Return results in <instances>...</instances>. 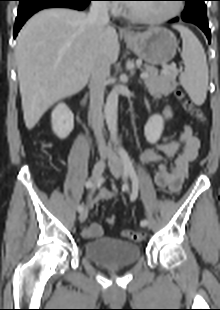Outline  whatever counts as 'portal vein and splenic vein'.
I'll list each match as a JSON object with an SVG mask.
<instances>
[{
  "label": "portal vein and splenic vein",
  "instance_id": "1",
  "mask_svg": "<svg viewBox=\"0 0 220 310\" xmlns=\"http://www.w3.org/2000/svg\"><path fill=\"white\" fill-rule=\"evenodd\" d=\"M169 70H173V71H176V72H177L178 70L176 69V64L170 65L164 72H168ZM140 77H141V79H146V78L149 77V74L146 73V72H143V73L140 75Z\"/></svg>",
  "mask_w": 220,
  "mask_h": 310
}]
</instances>
